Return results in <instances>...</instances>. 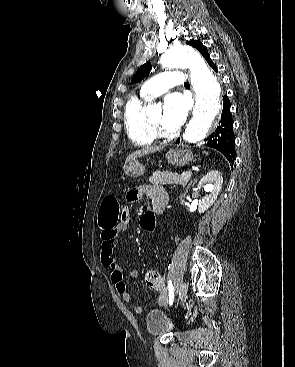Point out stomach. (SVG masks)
<instances>
[{"mask_svg":"<svg viewBox=\"0 0 295 367\" xmlns=\"http://www.w3.org/2000/svg\"><path fill=\"white\" fill-rule=\"evenodd\" d=\"M168 162L175 166H184L192 161L193 154L190 150L172 149L166 153ZM124 172L132 178L140 177L144 174V167L138 161H130L124 166Z\"/></svg>","mask_w":295,"mask_h":367,"instance_id":"obj_1","label":"stomach"}]
</instances>
